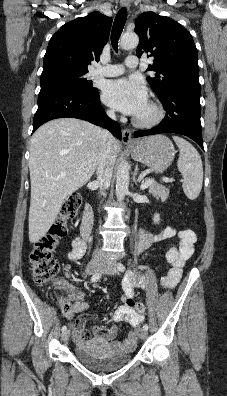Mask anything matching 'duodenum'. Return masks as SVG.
I'll return each mask as SVG.
<instances>
[{
	"instance_id": "duodenum-1",
	"label": "duodenum",
	"mask_w": 227,
	"mask_h": 396,
	"mask_svg": "<svg viewBox=\"0 0 227 396\" xmlns=\"http://www.w3.org/2000/svg\"><path fill=\"white\" fill-rule=\"evenodd\" d=\"M93 225V211L90 204H86L83 212V219L80 228L81 236L84 240H86L91 232Z\"/></svg>"
}]
</instances>
